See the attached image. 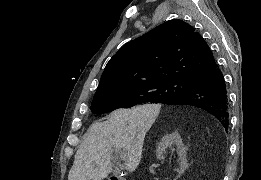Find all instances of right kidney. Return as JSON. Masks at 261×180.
Listing matches in <instances>:
<instances>
[{"mask_svg": "<svg viewBox=\"0 0 261 180\" xmlns=\"http://www.w3.org/2000/svg\"><path fill=\"white\" fill-rule=\"evenodd\" d=\"M176 146L177 154L179 156V174H183L184 170H187V158H186V148L182 142L180 134H166L162 140L159 142V146L156 150L157 158H162L166 152V148H172Z\"/></svg>", "mask_w": 261, "mask_h": 180, "instance_id": "ca27d5eb", "label": "right kidney"}]
</instances>
